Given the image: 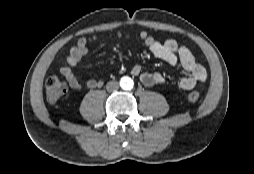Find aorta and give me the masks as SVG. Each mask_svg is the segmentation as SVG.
Returning a JSON list of instances; mask_svg holds the SVG:
<instances>
[{"mask_svg":"<svg viewBox=\"0 0 254 174\" xmlns=\"http://www.w3.org/2000/svg\"><path fill=\"white\" fill-rule=\"evenodd\" d=\"M121 86H122L123 89L129 90L133 87V82L129 78H124L122 80Z\"/></svg>","mask_w":254,"mask_h":174,"instance_id":"obj_1","label":"aorta"}]
</instances>
